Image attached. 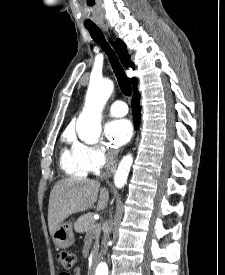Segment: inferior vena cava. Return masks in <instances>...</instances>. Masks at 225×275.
<instances>
[{"label": "inferior vena cava", "mask_w": 225, "mask_h": 275, "mask_svg": "<svg viewBox=\"0 0 225 275\" xmlns=\"http://www.w3.org/2000/svg\"><path fill=\"white\" fill-rule=\"evenodd\" d=\"M107 160H106V167L107 169H110L115 161H116V153L115 152H112V151H109L107 152ZM103 178H106L107 177V174H103L102 175ZM108 239H109V234H105L104 237H103V241H102V245H103V253H106L107 249H108V246H107V242H108Z\"/></svg>", "instance_id": "obj_1"}]
</instances>
